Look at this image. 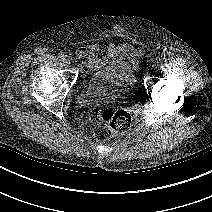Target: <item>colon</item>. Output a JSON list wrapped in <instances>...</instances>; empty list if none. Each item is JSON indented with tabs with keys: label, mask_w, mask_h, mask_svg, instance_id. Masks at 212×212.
I'll use <instances>...</instances> for the list:
<instances>
[{
	"label": "colon",
	"mask_w": 212,
	"mask_h": 212,
	"mask_svg": "<svg viewBox=\"0 0 212 212\" xmlns=\"http://www.w3.org/2000/svg\"><path fill=\"white\" fill-rule=\"evenodd\" d=\"M90 118L94 123L92 133L99 140L126 132L132 121L128 112L110 108L93 110Z\"/></svg>",
	"instance_id": "colon-1"
}]
</instances>
